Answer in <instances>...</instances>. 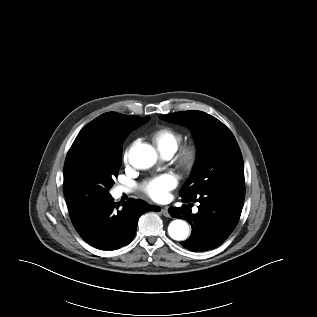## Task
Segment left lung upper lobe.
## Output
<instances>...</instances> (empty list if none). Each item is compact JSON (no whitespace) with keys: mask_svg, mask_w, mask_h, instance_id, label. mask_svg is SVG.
<instances>
[{"mask_svg":"<svg viewBox=\"0 0 317 317\" xmlns=\"http://www.w3.org/2000/svg\"><path fill=\"white\" fill-rule=\"evenodd\" d=\"M191 128L198 145L192 174L180 190L181 197H193L212 187L244 186V163L232 132L218 119L190 110L160 116Z\"/></svg>","mask_w":317,"mask_h":317,"instance_id":"5c2ea615","label":"left lung upper lobe"}]
</instances>
